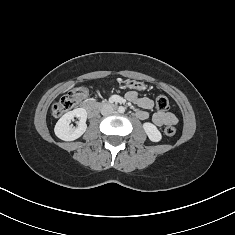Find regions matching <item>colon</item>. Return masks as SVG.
Returning <instances> with one entry per match:
<instances>
[{"instance_id":"colon-1","label":"colon","mask_w":235,"mask_h":235,"mask_svg":"<svg viewBox=\"0 0 235 235\" xmlns=\"http://www.w3.org/2000/svg\"><path fill=\"white\" fill-rule=\"evenodd\" d=\"M89 89L86 85L78 86L72 89L67 95L62 97L52 107V113L55 117L62 116L63 114L73 110L81 101L88 97ZM169 100L164 95H159L156 98V108L159 112H165L169 109ZM176 128L172 125L164 129V134L168 137L174 136Z\"/></svg>"}]
</instances>
